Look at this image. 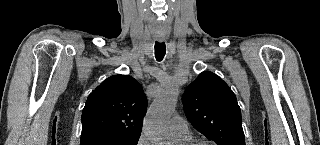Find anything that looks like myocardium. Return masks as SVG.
<instances>
[{"label":"myocardium","mask_w":320,"mask_h":145,"mask_svg":"<svg viewBox=\"0 0 320 145\" xmlns=\"http://www.w3.org/2000/svg\"><path fill=\"white\" fill-rule=\"evenodd\" d=\"M182 145H209V144L204 141H188L183 143Z\"/></svg>","instance_id":"myocardium-1"}]
</instances>
